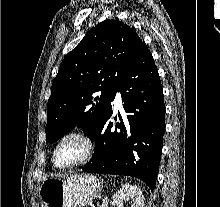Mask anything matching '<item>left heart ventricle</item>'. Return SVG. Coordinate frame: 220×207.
Masks as SVG:
<instances>
[{"instance_id": "b2bd125f", "label": "left heart ventricle", "mask_w": 220, "mask_h": 207, "mask_svg": "<svg viewBox=\"0 0 220 207\" xmlns=\"http://www.w3.org/2000/svg\"><path fill=\"white\" fill-rule=\"evenodd\" d=\"M83 153V145L75 139L65 141L58 149L56 161L59 165H64L77 160Z\"/></svg>"}]
</instances>
